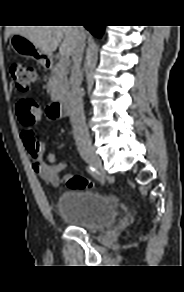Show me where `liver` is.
<instances>
[{
	"instance_id": "liver-1",
	"label": "liver",
	"mask_w": 184,
	"mask_h": 292,
	"mask_svg": "<svg viewBox=\"0 0 184 292\" xmlns=\"http://www.w3.org/2000/svg\"><path fill=\"white\" fill-rule=\"evenodd\" d=\"M82 33L85 37L84 30ZM13 34L26 37L49 56L60 45L59 53L66 57L73 54L80 37L77 26H9L6 28V39Z\"/></svg>"
}]
</instances>
